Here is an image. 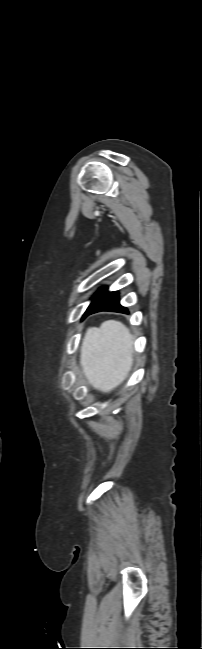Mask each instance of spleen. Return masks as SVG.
<instances>
[{"label": "spleen", "instance_id": "obj_1", "mask_svg": "<svg viewBox=\"0 0 202 649\" xmlns=\"http://www.w3.org/2000/svg\"><path fill=\"white\" fill-rule=\"evenodd\" d=\"M133 337L120 322L109 320L90 329L81 348V365L88 381L98 390L109 392L131 369Z\"/></svg>", "mask_w": 202, "mask_h": 649}]
</instances>
